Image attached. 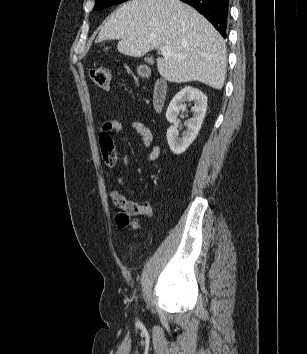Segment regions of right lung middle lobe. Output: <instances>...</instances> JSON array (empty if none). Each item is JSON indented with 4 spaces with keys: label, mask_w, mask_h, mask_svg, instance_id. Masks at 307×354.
Wrapping results in <instances>:
<instances>
[{
    "label": "right lung middle lobe",
    "mask_w": 307,
    "mask_h": 354,
    "mask_svg": "<svg viewBox=\"0 0 307 354\" xmlns=\"http://www.w3.org/2000/svg\"><path fill=\"white\" fill-rule=\"evenodd\" d=\"M127 0H96L93 10H100L106 7L125 2Z\"/></svg>",
    "instance_id": "obj_1"
}]
</instances>
